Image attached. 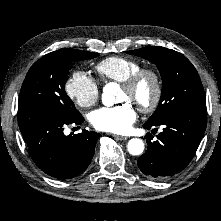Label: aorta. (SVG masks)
I'll use <instances>...</instances> for the list:
<instances>
[{"label":"aorta","mask_w":221,"mask_h":221,"mask_svg":"<svg viewBox=\"0 0 221 221\" xmlns=\"http://www.w3.org/2000/svg\"><path fill=\"white\" fill-rule=\"evenodd\" d=\"M118 91L119 87L116 83L106 84L103 88L102 103L105 106H113ZM127 150L131 155H140L144 151V143L139 138H132L127 143Z\"/></svg>","instance_id":"aorta-1"}]
</instances>
